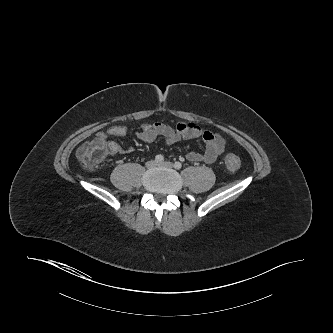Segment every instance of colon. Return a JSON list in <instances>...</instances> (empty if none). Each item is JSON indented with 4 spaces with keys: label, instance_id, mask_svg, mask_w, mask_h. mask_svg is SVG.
Returning a JSON list of instances; mask_svg holds the SVG:
<instances>
[{
    "label": "colon",
    "instance_id": "colon-1",
    "mask_svg": "<svg viewBox=\"0 0 333 333\" xmlns=\"http://www.w3.org/2000/svg\"><path fill=\"white\" fill-rule=\"evenodd\" d=\"M111 153L109 143L102 138H95L83 144L77 151V159L87 169L97 167L108 154ZM225 166L230 171H236L241 166L240 158L235 154H228L225 157Z\"/></svg>",
    "mask_w": 333,
    "mask_h": 333
}]
</instances>
